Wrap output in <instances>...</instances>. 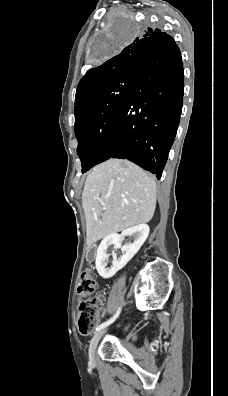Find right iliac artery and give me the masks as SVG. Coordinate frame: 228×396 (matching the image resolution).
<instances>
[{
    "label": "right iliac artery",
    "instance_id": "right-iliac-artery-1",
    "mask_svg": "<svg viewBox=\"0 0 228 396\" xmlns=\"http://www.w3.org/2000/svg\"><path fill=\"white\" fill-rule=\"evenodd\" d=\"M120 312H121V307L118 308L116 314L112 318H110L108 321H106V322L102 323L101 325H99L96 328V331H100L101 329L105 328L106 326H108L109 324L114 322L115 319L119 316Z\"/></svg>",
    "mask_w": 228,
    "mask_h": 396
}]
</instances>
